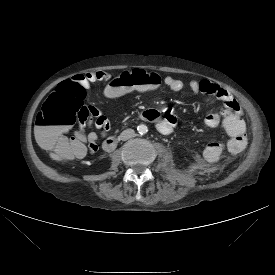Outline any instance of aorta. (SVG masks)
I'll return each instance as SVG.
<instances>
[{"label":"aorta","instance_id":"obj_1","mask_svg":"<svg viewBox=\"0 0 275 275\" xmlns=\"http://www.w3.org/2000/svg\"><path fill=\"white\" fill-rule=\"evenodd\" d=\"M137 131H138L139 134H142V135H143V134H146V133H147L148 128H147L146 125L140 124V125H138V127H137Z\"/></svg>","mask_w":275,"mask_h":275}]
</instances>
